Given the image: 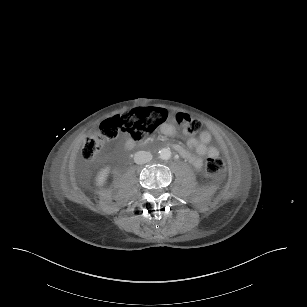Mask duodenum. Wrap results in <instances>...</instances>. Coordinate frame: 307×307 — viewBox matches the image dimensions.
Returning a JSON list of instances; mask_svg holds the SVG:
<instances>
[{"label":"duodenum","instance_id":"1","mask_svg":"<svg viewBox=\"0 0 307 307\" xmlns=\"http://www.w3.org/2000/svg\"><path fill=\"white\" fill-rule=\"evenodd\" d=\"M145 146H146V144H142V145H141V147H145ZM172 148H173V145H172Z\"/></svg>","mask_w":307,"mask_h":307}]
</instances>
